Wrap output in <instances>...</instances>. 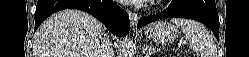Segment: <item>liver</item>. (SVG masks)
Listing matches in <instances>:
<instances>
[{
  "mask_svg": "<svg viewBox=\"0 0 249 57\" xmlns=\"http://www.w3.org/2000/svg\"><path fill=\"white\" fill-rule=\"evenodd\" d=\"M101 22L77 9L60 11L35 33L34 57H98Z\"/></svg>",
  "mask_w": 249,
  "mask_h": 57,
  "instance_id": "liver-1",
  "label": "liver"
}]
</instances>
